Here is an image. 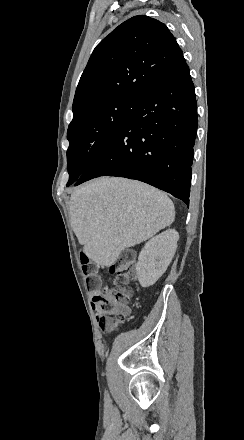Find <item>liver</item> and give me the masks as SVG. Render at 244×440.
I'll use <instances>...</instances> for the list:
<instances>
[{
    "mask_svg": "<svg viewBox=\"0 0 244 440\" xmlns=\"http://www.w3.org/2000/svg\"><path fill=\"white\" fill-rule=\"evenodd\" d=\"M72 230L97 266H112L120 252L171 226L173 202L164 192L126 178H96L71 194Z\"/></svg>",
    "mask_w": 244,
    "mask_h": 440,
    "instance_id": "obj_1",
    "label": "liver"
}]
</instances>
